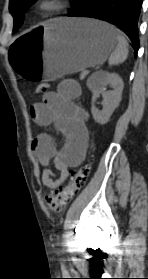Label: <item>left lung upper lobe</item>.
<instances>
[{"label":"left lung upper lobe","mask_w":148,"mask_h":279,"mask_svg":"<svg viewBox=\"0 0 148 279\" xmlns=\"http://www.w3.org/2000/svg\"><path fill=\"white\" fill-rule=\"evenodd\" d=\"M36 0H10L9 10L14 18V28L16 31L23 22L24 12L33 4ZM74 5L78 0H70Z\"/></svg>","instance_id":"left-lung-upper-lobe-1"}]
</instances>
